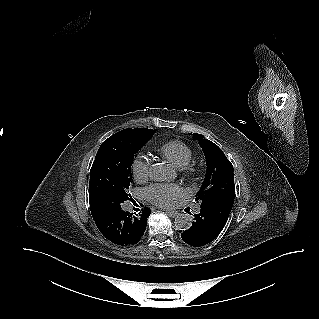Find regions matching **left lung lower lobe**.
Wrapping results in <instances>:
<instances>
[{"instance_id": "0a47b994", "label": "left lung lower lobe", "mask_w": 319, "mask_h": 319, "mask_svg": "<svg viewBox=\"0 0 319 319\" xmlns=\"http://www.w3.org/2000/svg\"><path fill=\"white\" fill-rule=\"evenodd\" d=\"M233 203L234 199H225L201 204L192 226L181 234L183 241L196 247L213 241L224 228Z\"/></svg>"}]
</instances>
